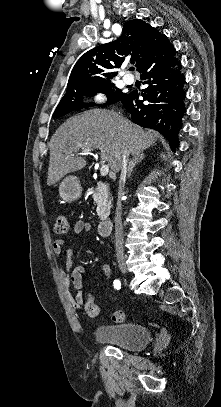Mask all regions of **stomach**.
<instances>
[{"label":"stomach","mask_w":221,"mask_h":407,"mask_svg":"<svg viewBox=\"0 0 221 407\" xmlns=\"http://www.w3.org/2000/svg\"><path fill=\"white\" fill-rule=\"evenodd\" d=\"M61 198L66 202L78 200L82 194V187L76 176L70 175L65 177L59 186Z\"/></svg>","instance_id":"obj_1"}]
</instances>
